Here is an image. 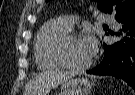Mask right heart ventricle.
Listing matches in <instances>:
<instances>
[{"label": "right heart ventricle", "mask_w": 135, "mask_h": 95, "mask_svg": "<svg viewBox=\"0 0 135 95\" xmlns=\"http://www.w3.org/2000/svg\"><path fill=\"white\" fill-rule=\"evenodd\" d=\"M70 30L61 18L49 20L40 28L34 43L35 61L40 69L63 67L57 57L56 48L60 39Z\"/></svg>", "instance_id": "e07e8e85"}]
</instances>
